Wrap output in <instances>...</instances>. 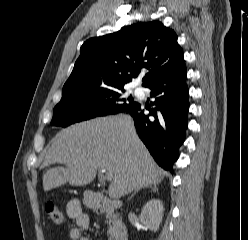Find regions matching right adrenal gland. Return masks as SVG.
<instances>
[{
	"mask_svg": "<svg viewBox=\"0 0 248 240\" xmlns=\"http://www.w3.org/2000/svg\"><path fill=\"white\" fill-rule=\"evenodd\" d=\"M143 188H150L152 192H158V188H157V185L156 184H153V185H150V186H146V187H143ZM141 188H138L134 191V193L128 198V200H130L139 190H141Z\"/></svg>",
	"mask_w": 248,
	"mask_h": 240,
	"instance_id": "1",
	"label": "right adrenal gland"
}]
</instances>
